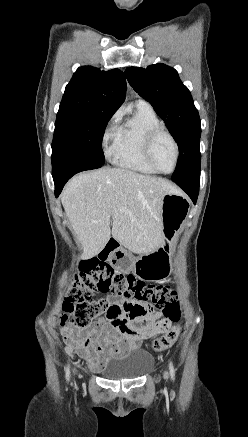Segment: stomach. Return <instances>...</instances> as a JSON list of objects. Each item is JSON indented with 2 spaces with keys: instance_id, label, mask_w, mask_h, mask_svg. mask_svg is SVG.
<instances>
[{
  "instance_id": "1",
  "label": "stomach",
  "mask_w": 248,
  "mask_h": 437,
  "mask_svg": "<svg viewBox=\"0 0 248 437\" xmlns=\"http://www.w3.org/2000/svg\"><path fill=\"white\" fill-rule=\"evenodd\" d=\"M189 203L180 193H168L162 200V244L149 254L135 258L126 250L116 252L115 272L136 273L137 279H149L151 286H157L159 279H166L173 245L187 218Z\"/></svg>"
}]
</instances>
